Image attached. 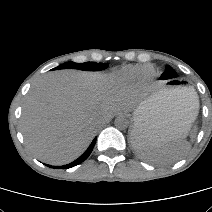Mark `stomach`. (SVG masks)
<instances>
[{"instance_id":"0dacf381","label":"stomach","mask_w":212,"mask_h":212,"mask_svg":"<svg viewBox=\"0 0 212 212\" xmlns=\"http://www.w3.org/2000/svg\"><path fill=\"white\" fill-rule=\"evenodd\" d=\"M181 86L167 85L155 92L149 99L141 102L134 112L135 117H144L152 131L161 133L166 138L184 136L172 124V107L170 92L180 89ZM135 134V121L131 137Z\"/></svg>"}]
</instances>
